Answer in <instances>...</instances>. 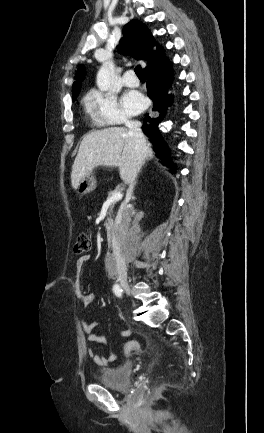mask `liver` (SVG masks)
Segmentation results:
<instances>
[{"mask_svg": "<svg viewBox=\"0 0 264 433\" xmlns=\"http://www.w3.org/2000/svg\"><path fill=\"white\" fill-rule=\"evenodd\" d=\"M146 143V158H152L151 145ZM97 166L118 167L126 184L137 174L135 140L126 128L94 130L83 138L72 166V187L77 189L81 179Z\"/></svg>", "mask_w": 264, "mask_h": 433, "instance_id": "6515ba94", "label": "liver"}]
</instances>
